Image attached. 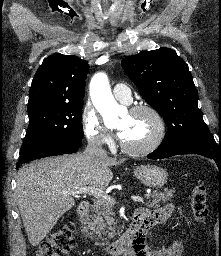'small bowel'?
<instances>
[{
    "label": "small bowel",
    "mask_w": 221,
    "mask_h": 256,
    "mask_svg": "<svg viewBox=\"0 0 221 256\" xmlns=\"http://www.w3.org/2000/svg\"><path fill=\"white\" fill-rule=\"evenodd\" d=\"M174 207L171 204L163 206L158 209L149 210L146 208L137 209L143 215L141 222V230L138 239L126 252V256H181L183 246L181 242H175L170 247L160 250L150 249L146 239V235L150 229L158 224L164 223L168 220Z\"/></svg>",
    "instance_id": "1"
}]
</instances>
